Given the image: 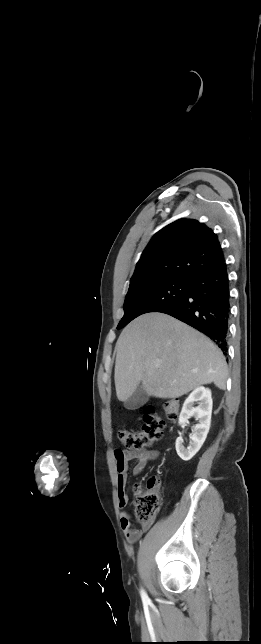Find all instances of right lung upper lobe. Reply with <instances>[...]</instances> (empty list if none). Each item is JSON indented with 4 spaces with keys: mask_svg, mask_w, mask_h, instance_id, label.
Instances as JSON below:
<instances>
[{
    "mask_svg": "<svg viewBox=\"0 0 261 644\" xmlns=\"http://www.w3.org/2000/svg\"><path fill=\"white\" fill-rule=\"evenodd\" d=\"M224 262L218 238L204 224L180 219L155 234L143 251L130 287L168 278L192 279Z\"/></svg>",
    "mask_w": 261,
    "mask_h": 644,
    "instance_id": "obj_1",
    "label": "right lung upper lobe"
}]
</instances>
